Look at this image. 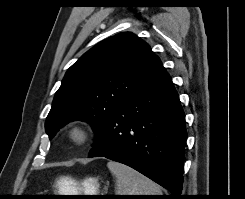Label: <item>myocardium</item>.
<instances>
[{
    "label": "myocardium",
    "instance_id": "myocardium-1",
    "mask_svg": "<svg viewBox=\"0 0 245 199\" xmlns=\"http://www.w3.org/2000/svg\"><path fill=\"white\" fill-rule=\"evenodd\" d=\"M68 140L76 145H86L91 139L90 129L83 123H73L67 128Z\"/></svg>",
    "mask_w": 245,
    "mask_h": 199
}]
</instances>
